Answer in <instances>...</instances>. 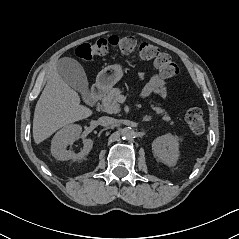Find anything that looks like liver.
Segmentation results:
<instances>
[{
    "label": "liver",
    "instance_id": "obj_1",
    "mask_svg": "<svg viewBox=\"0 0 239 239\" xmlns=\"http://www.w3.org/2000/svg\"><path fill=\"white\" fill-rule=\"evenodd\" d=\"M91 115L92 111L80 105L78 93L62 79L54 66L35 107L34 141L39 144L61 127Z\"/></svg>",
    "mask_w": 239,
    "mask_h": 239
}]
</instances>
